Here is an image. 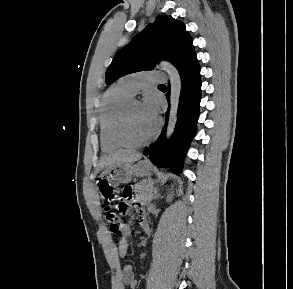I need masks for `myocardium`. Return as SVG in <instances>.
Returning a JSON list of instances; mask_svg holds the SVG:
<instances>
[{
  "label": "myocardium",
  "instance_id": "myocardium-1",
  "mask_svg": "<svg viewBox=\"0 0 293 289\" xmlns=\"http://www.w3.org/2000/svg\"><path fill=\"white\" fill-rule=\"evenodd\" d=\"M136 103H140L138 99L131 98L122 108L116 124V137L118 141L125 147L128 148H142L152 143L160 133L161 122L157 120L156 128L152 135L141 142L133 141L128 134V118L132 106Z\"/></svg>",
  "mask_w": 293,
  "mask_h": 289
}]
</instances>
